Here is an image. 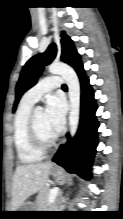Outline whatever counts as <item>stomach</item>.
Instances as JSON below:
<instances>
[{
    "label": "stomach",
    "mask_w": 123,
    "mask_h": 219,
    "mask_svg": "<svg viewBox=\"0 0 123 219\" xmlns=\"http://www.w3.org/2000/svg\"><path fill=\"white\" fill-rule=\"evenodd\" d=\"M51 174L53 175V177L55 178V180L57 182H62L64 180V173L61 169L59 168H54L51 171ZM35 204L32 202H26L21 206V209L18 211H34L33 209H35ZM23 215V214H21Z\"/></svg>",
    "instance_id": "0dacf381"
}]
</instances>
